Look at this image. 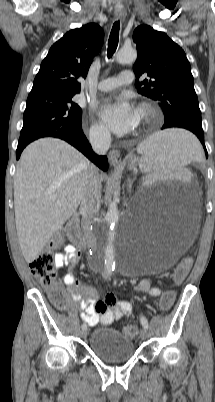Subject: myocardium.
Returning a JSON list of instances; mask_svg holds the SVG:
<instances>
[{
  "instance_id": "myocardium-1",
  "label": "myocardium",
  "mask_w": 215,
  "mask_h": 402,
  "mask_svg": "<svg viewBox=\"0 0 215 402\" xmlns=\"http://www.w3.org/2000/svg\"><path fill=\"white\" fill-rule=\"evenodd\" d=\"M137 112L140 113L141 116L143 117L142 126L135 133L136 135H139V134L143 133L151 125V123L157 116L158 111L153 104H151L149 102H142L138 105Z\"/></svg>"
}]
</instances>
